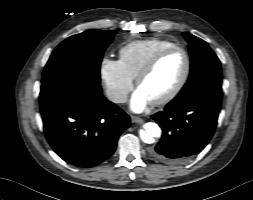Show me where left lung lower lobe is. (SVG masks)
<instances>
[{
  "mask_svg": "<svg viewBox=\"0 0 253 200\" xmlns=\"http://www.w3.org/2000/svg\"><path fill=\"white\" fill-rule=\"evenodd\" d=\"M222 92L204 90L184 100H173L152 115L162 128V138L150 150L153 158L179 164L199 153L212 138L221 109Z\"/></svg>",
  "mask_w": 253,
  "mask_h": 200,
  "instance_id": "0a47b994",
  "label": "left lung lower lobe"
}]
</instances>
